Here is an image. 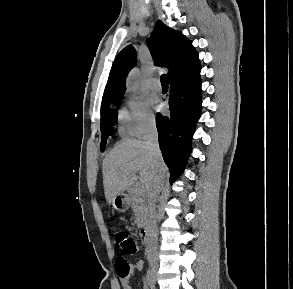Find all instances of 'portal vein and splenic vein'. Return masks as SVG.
Returning a JSON list of instances; mask_svg holds the SVG:
<instances>
[{"mask_svg":"<svg viewBox=\"0 0 293 289\" xmlns=\"http://www.w3.org/2000/svg\"><path fill=\"white\" fill-rule=\"evenodd\" d=\"M135 192L138 193V194H142L143 189L141 188V186L137 185V186L135 187Z\"/></svg>","mask_w":293,"mask_h":289,"instance_id":"obj_1","label":"portal vein and splenic vein"}]
</instances>
